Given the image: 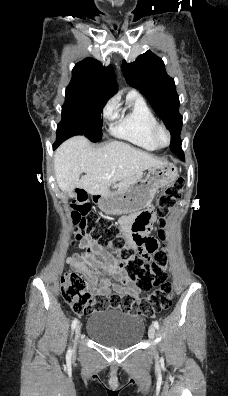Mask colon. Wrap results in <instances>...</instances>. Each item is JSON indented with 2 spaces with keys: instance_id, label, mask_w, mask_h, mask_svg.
<instances>
[{
  "instance_id": "obj_1",
  "label": "colon",
  "mask_w": 228,
  "mask_h": 396,
  "mask_svg": "<svg viewBox=\"0 0 228 396\" xmlns=\"http://www.w3.org/2000/svg\"><path fill=\"white\" fill-rule=\"evenodd\" d=\"M185 184L184 178H178L173 184L165 187L157 198L155 213L141 212L132 224V240L137 250L124 248L114 258L126 270L127 277L135 282L142 291L156 288L147 296L136 299L131 294H111L92 296L88 291L87 282L78 273L67 271L61 276L63 299L78 315H89L109 309L141 314L147 317L167 309L172 302L173 292L168 282L162 281L167 266V256L159 248L155 239L149 236L152 223L157 217L161 227L165 225L171 208L181 196ZM72 220L77 226L75 241L80 243L88 238L96 240L99 245L104 242L102 233L112 229L107 221L91 213V205L84 190H78L73 202ZM161 240H165L163 229L159 231ZM151 255L154 258L151 260Z\"/></svg>"
}]
</instances>
